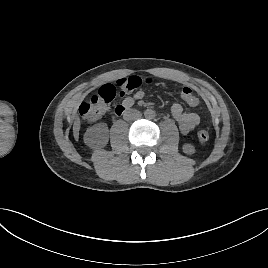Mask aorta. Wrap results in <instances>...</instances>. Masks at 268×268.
I'll return each instance as SVG.
<instances>
[{"instance_id":"obj_1","label":"aorta","mask_w":268,"mask_h":268,"mask_svg":"<svg viewBox=\"0 0 268 268\" xmlns=\"http://www.w3.org/2000/svg\"><path fill=\"white\" fill-rule=\"evenodd\" d=\"M155 115H156V113H155V111L152 110V109H147V110H145V112H144V116H145V118H147V119H153V118L155 117Z\"/></svg>"}]
</instances>
